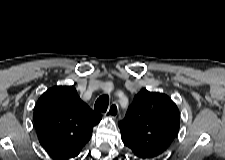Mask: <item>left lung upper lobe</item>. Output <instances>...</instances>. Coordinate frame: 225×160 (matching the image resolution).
Listing matches in <instances>:
<instances>
[{
  "instance_id": "1",
  "label": "left lung upper lobe",
  "mask_w": 225,
  "mask_h": 160,
  "mask_svg": "<svg viewBox=\"0 0 225 160\" xmlns=\"http://www.w3.org/2000/svg\"><path fill=\"white\" fill-rule=\"evenodd\" d=\"M180 113L165 94L142 89L118 123L124 144L140 159L160 156L179 131Z\"/></svg>"
}]
</instances>
